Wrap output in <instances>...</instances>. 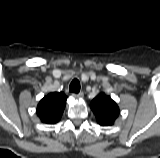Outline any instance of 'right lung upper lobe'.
Returning a JSON list of instances; mask_svg holds the SVG:
<instances>
[{"mask_svg":"<svg viewBox=\"0 0 160 158\" xmlns=\"http://www.w3.org/2000/svg\"><path fill=\"white\" fill-rule=\"evenodd\" d=\"M67 96L63 92H53L45 96L37 106V115L43 123L55 124L63 114Z\"/></svg>","mask_w":160,"mask_h":158,"instance_id":"cb5924a9","label":"right lung upper lobe"}]
</instances>
